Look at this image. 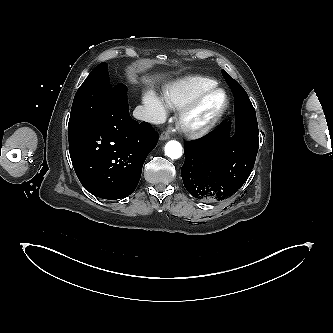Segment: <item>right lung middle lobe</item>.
Listing matches in <instances>:
<instances>
[{"label": "right lung middle lobe", "mask_w": 333, "mask_h": 333, "mask_svg": "<svg viewBox=\"0 0 333 333\" xmlns=\"http://www.w3.org/2000/svg\"><path fill=\"white\" fill-rule=\"evenodd\" d=\"M116 86L109 81L105 62L100 63L91 71L74 97L68 124V135L81 130L96 117Z\"/></svg>", "instance_id": "right-lung-middle-lobe-1"}]
</instances>
